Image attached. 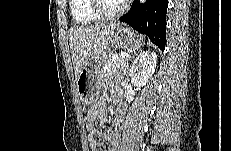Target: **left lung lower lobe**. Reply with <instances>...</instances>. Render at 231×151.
<instances>
[{
  "label": "left lung lower lobe",
  "instance_id": "1",
  "mask_svg": "<svg viewBox=\"0 0 231 151\" xmlns=\"http://www.w3.org/2000/svg\"><path fill=\"white\" fill-rule=\"evenodd\" d=\"M168 0H135L130 11L119 20L129 24L139 33L146 34L161 50L166 42V13Z\"/></svg>",
  "mask_w": 231,
  "mask_h": 151
}]
</instances>
